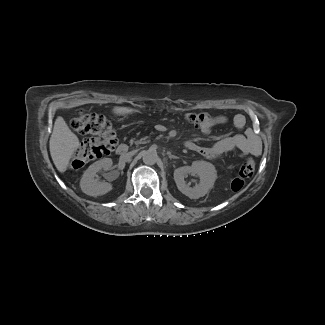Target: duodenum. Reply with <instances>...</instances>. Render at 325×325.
Returning <instances> with one entry per match:
<instances>
[{
	"instance_id": "1",
	"label": "duodenum",
	"mask_w": 325,
	"mask_h": 325,
	"mask_svg": "<svg viewBox=\"0 0 325 325\" xmlns=\"http://www.w3.org/2000/svg\"><path fill=\"white\" fill-rule=\"evenodd\" d=\"M189 143H187L186 146H188ZM129 147L126 144H121L118 149L117 152L119 154V156H125L128 153Z\"/></svg>"
}]
</instances>
